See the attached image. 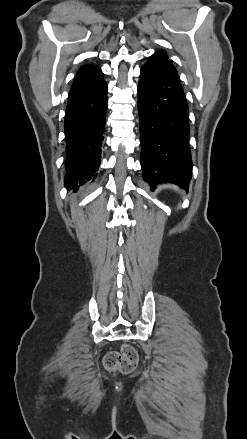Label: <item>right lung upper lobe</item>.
<instances>
[{"label": "right lung upper lobe", "mask_w": 247, "mask_h": 439, "mask_svg": "<svg viewBox=\"0 0 247 439\" xmlns=\"http://www.w3.org/2000/svg\"><path fill=\"white\" fill-rule=\"evenodd\" d=\"M103 73L97 66L86 64L83 65L71 86L70 93L85 91L91 89L103 82Z\"/></svg>", "instance_id": "1"}]
</instances>
